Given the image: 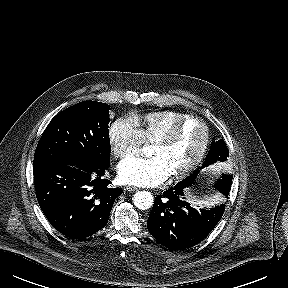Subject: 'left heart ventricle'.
Returning a JSON list of instances; mask_svg holds the SVG:
<instances>
[{
    "mask_svg": "<svg viewBox=\"0 0 288 288\" xmlns=\"http://www.w3.org/2000/svg\"><path fill=\"white\" fill-rule=\"evenodd\" d=\"M203 141L202 125L190 121L180 129L170 144H153L151 155L160 156L170 174L179 173L197 157Z\"/></svg>",
    "mask_w": 288,
    "mask_h": 288,
    "instance_id": "1",
    "label": "left heart ventricle"
}]
</instances>
